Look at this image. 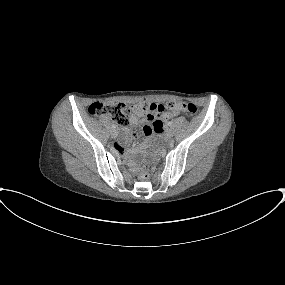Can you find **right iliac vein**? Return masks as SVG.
<instances>
[{
	"label": "right iliac vein",
	"instance_id": "obj_1",
	"mask_svg": "<svg viewBox=\"0 0 285 285\" xmlns=\"http://www.w3.org/2000/svg\"><path fill=\"white\" fill-rule=\"evenodd\" d=\"M117 135H118V132H117L116 130H112V131H111V137H112V138H116Z\"/></svg>",
	"mask_w": 285,
	"mask_h": 285
}]
</instances>
